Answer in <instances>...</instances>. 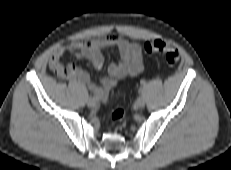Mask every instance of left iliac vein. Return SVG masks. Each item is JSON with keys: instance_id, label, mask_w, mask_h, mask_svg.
<instances>
[{"instance_id": "1", "label": "left iliac vein", "mask_w": 231, "mask_h": 170, "mask_svg": "<svg viewBox=\"0 0 231 170\" xmlns=\"http://www.w3.org/2000/svg\"><path fill=\"white\" fill-rule=\"evenodd\" d=\"M135 105H136V107L138 109H142L145 106L144 99L143 98H138Z\"/></svg>"}]
</instances>
